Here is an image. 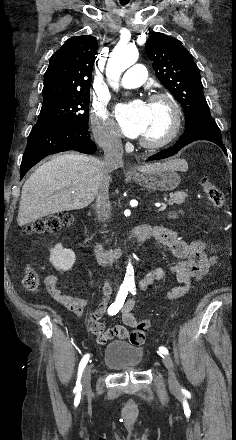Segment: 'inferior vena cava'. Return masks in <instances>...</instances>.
Segmentation results:
<instances>
[{
    "instance_id": "obj_1",
    "label": "inferior vena cava",
    "mask_w": 236,
    "mask_h": 440,
    "mask_svg": "<svg viewBox=\"0 0 236 440\" xmlns=\"http://www.w3.org/2000/svg\"><path fill=\"white\" fill-rule=\"evenodd\" d=\"M104 171L109 174L123 165V145L115 135H106L104 139ZM96 213L99 220L106 222L111 215L108 187L102 184L96 195Z\"/></svg>"
}]
</instances>
